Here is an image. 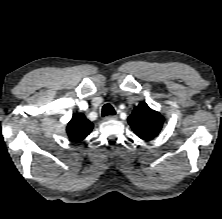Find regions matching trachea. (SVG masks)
Here are the masks:
<instances>
[{
    "mask_svg": "<svg viewBox=\"0 0 222 219\" xmlns=\"http://www.w3.org/2000/svg\"><path fill=\"white\" fill-rule=\"evenodd\" d=\"M115 114H116V112H115V110H114L112 105L105 104L102 107V116L115 115Z\"/></svg>",
    "mask_w": 222,
    "mask_h": 219,
    "instance_id": "trachea-1",
    "label": "trachea"
}]
</instances>
